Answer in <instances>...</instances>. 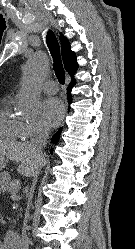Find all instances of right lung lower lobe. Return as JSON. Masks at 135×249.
<instances>
[{"label":"right lung lower lobe","instance_id":"right-lung-lower-lobe-1","mask_svg":"<svg viewBox=\"0 0 135 249\" xmlns=\"http://www.w3.org/2000/svg\"><path fill=\"white\" fill-rule=\"evenodd\" d=\"M74 84H75V79L72 78V79H71V82H70V84H69V86H68V88H67V98H68L69 104L72 102L71 90H72ZM69 109H70V106L68 107V110H69ZM61 131H62V128H60V129L57 131V133L52 137L54 143H57V141L59 140Z\"/></svg>","mask_w":135,"mask_h":249}]
</instances>
